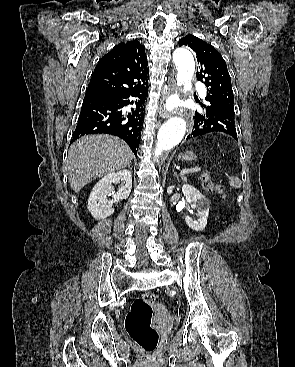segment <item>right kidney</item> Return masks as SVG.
Instances as JSON below:
<instances>
[{
	"mask_svg": "<svg viewBox=\"0 0 295 367\" xmlns=\"http://www.w3.org/2000/svg\"><path fill=\"white\" fill-rule=\"evenodd\" d=\"M121 187L117 192L114 191L112 184L120 183ZM132 189V175L128 170H120L110 173L103 177L92 189L88 199V210L92 217L101 220L112 215L113 203L127 199ZM112 195V200L107 197Z\"/></svg>",
	"mask_w": 295,
	"mask_h": 367,
	"instance_id": "1",
	"label": "right kidney"
}]
</instances>
